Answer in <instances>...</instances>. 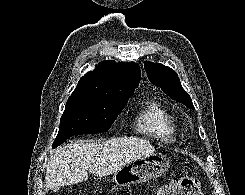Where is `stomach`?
Returning <instances> with one entry per match:
<instances>
[{"label":"stomach","mask_w":245,"mask_h":195,"mask_svg":"<svg viewBox=\"0 0 245 195\" xmlns=\"http://www.w3.org/2000/svg\"><path fill=\"white\" fill-rule=\"evenodd\" d=\"M168 168L167 160L157 155L144 156L116 171L112 176V180L119 187L130 186L131 184L156 179L166 173Z\"/></svg>","instance_id":"stomach-1"}]
</instances>
